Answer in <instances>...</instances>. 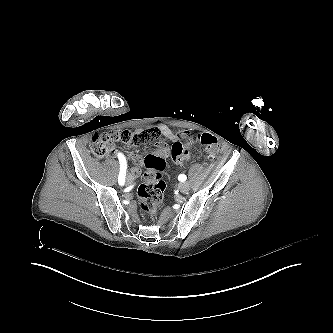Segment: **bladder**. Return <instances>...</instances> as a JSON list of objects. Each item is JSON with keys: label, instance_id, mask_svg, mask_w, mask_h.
Returning a JSON list of instances; mask_svg holds the SVG:
<instances>
[{"label": "bladder", "instance_id": "31cf9c89", "mask_svg": "<svg viewBox=\"0 0 333 333\" xmlns=\"http://www.w3.org/2000/svg\"><path fill=\"white\" fill-rule=\"evenodd\" d=\"M163 156L166 159L169 158V155L167 153L163 154ZM161 166L163 167L162 164H156V165H152V166L149 167V169H148V179H149L150 183L154 180L158 181V183L160 182L161 174H162Z\"/></svg>", "mask_w": 333, "mask_h": 333}]
</instances>
